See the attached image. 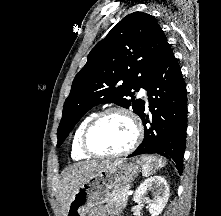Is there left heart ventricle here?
I'll use <instances>...</instances> for the list:
<instances>
[{
    "label": "left heart ventricle",
    "mask_w": 221,
    "mask_h": 216,
    "mask_svg": "<svg viewBox=\"0 0 221 216\" xmlns=\"http://www.w3.org/2000/svg\"><path fill=\"white\" fill-rule=\"evenodd\" d=\"M131 122L121 114H110L100 120L88 138L90 148L96 152L113 153L127 148L133 141Z\"/></svg>",
    "instance_id": "obj_1"
}]
</instances>
